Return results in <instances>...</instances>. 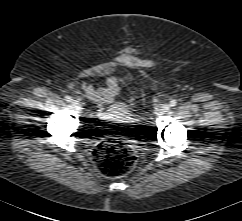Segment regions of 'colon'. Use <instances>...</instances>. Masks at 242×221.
I'll use <instances>...</instances> for the list:
<instances>
[{
    "mask_svg": "<svg viewBox=\"0 0 242 221\" xmlns=\"http://www.w3.org/2000/svg\"><path fill=\"white\" fill-rule=\"evenodd\" d=\"M136 160L135 152L124 142H102L94 150L95 166L106 177L118 178L126 175L133 169Z\"/></svg>",
    "mask_w": 242,
    "mask_h": 221,
    "instance_id": "obj_1",
    "label": "colon"
}]
</instances>
